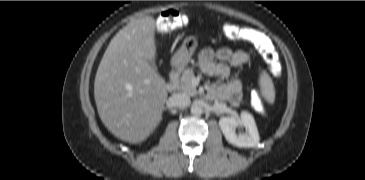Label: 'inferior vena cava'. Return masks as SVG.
I'll list each match as a JSON object with an SVG mask.
<instances>
[{
    "label": "inferior vena cava",
    "mask_w": 365,
    "mask_h": 180,
    "mask_svg": "<svg viewBox=\"0 0 365 180\" xmlns=\"http://www.w3.org/2000/svg\"><path fill=\"white\" fill-rule=\"evenodd\" d=\"M169 101L174 107L180 109L187 108L191 103L190 97L184 93L173 94Z\"/></svg>",
    "instance_id": "inferior-vena-cava-1"
}]
</instances>
